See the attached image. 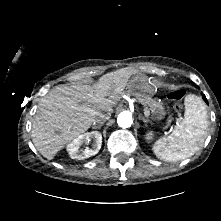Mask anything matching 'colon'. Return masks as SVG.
I'll return each mask as SVG.
<instances>
[{"label": "colon", "instance_id": "colon-1", "mask_svg": "<svg viewBox=\"0 0 221 221\" xmlns=\"http://www.w3.org/2000/svg\"><path fill=\"white\" fill-rule=\"evenodd\" d=\"M185 95L184 90H174L169 93V99L174 103V107L177 111L182 110V99Z\"/></svg>", "mask_w": 221, "mask_h": 221}]
</instances>
